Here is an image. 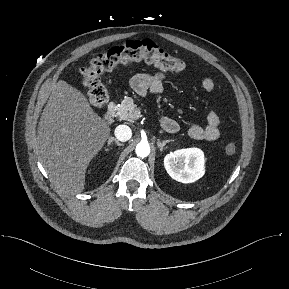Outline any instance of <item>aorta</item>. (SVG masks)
<instances>
[{
  "instance_id": "762f6f07",
  "label": "aorta",
  "mask_w": 289,
  "mask_h": 289,
  "mask_svg": "<svg viewBox=\"0 0 289 289\" xmlns=\"http://www.w3.org/2000/svg\"><path fill=\"white\" fill-rule=\"evenodd\" d=\"M150 153V146L147 142H140L136 146V154L139 157H147Z\"/></svg>"
}]
</instances>
